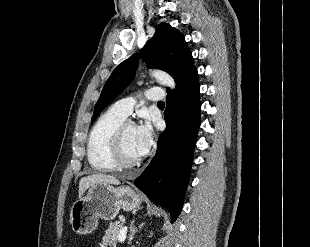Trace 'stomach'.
I'll use <instances>...</instances> for the list:
<instances>
[{"mask_svg":"<svg viewBox=\"0 0 310 247\" xmlns=\"http://www.w3.org/2000/svg\"><path fill=\"white\" fill-rule=\"evenodd\" d=\"M141 203L140 195L128 186L115 188L109 184H95L84 197L73 203L70 225L77 234H90L97 228L99 218L113 220L121 209L131 211Z\"/></svg>","mask_w":310,"mask_h":247,"instance_id":"0dacf381","label":"stomach"}]
</instances>
